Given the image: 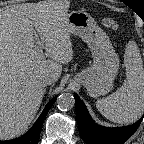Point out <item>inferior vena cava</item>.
I'll return each instance as SVG.
<instances>
[{"instance_id": "obj_1", "label": "inferior vena cava", "mask_w": 144, "mask_h": 144, "mask_svg": "<svg viewBox=\"0 0 144 144\" xmlns=\"http://www.w3.org/2000/svg\"><path fill=\"white\" fill-rule=\"evenodd\" d=\"M54 82L55 80L53 79L51 75H46L41 78L40 84L45 87L47 85L53 84Z\"/></svg>"}]
</instances>
